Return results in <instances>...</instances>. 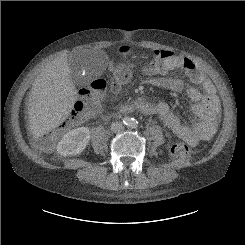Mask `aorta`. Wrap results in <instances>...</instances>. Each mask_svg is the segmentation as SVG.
Segmentation results:
<instances>
[{
  "mask_svg": "<svg viewBox=\"0 0 245 245\" xmlns=\"http://www.w3.org/2000/svg\"><path fill=\"white\" fill-rule=\"evenodd\" d=\"M127 126H129L130 128H136L137 126V121L133 118L127 120L126 122Z\"/></svg>",
  "mask_w": 245,
  "mask_h": 245,
  "instance_id": "1",
  "label": "aorta"
}]
</instances>
